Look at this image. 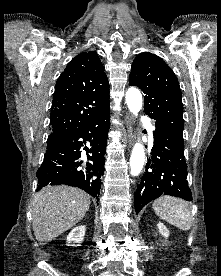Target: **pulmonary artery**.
I'll return each mask as SVG.
<instances>
[{"mask_svg":"<svg viewBox=\"0 0 221 276\" xmlns=\"http://www.w3.org/2000/svg\"><path fill=\"white\" fill-rule=\"evenodd\" d=\"M149 132H150V137H152V127L148 126Z\"/></svg>","mask_w":221,"mask_h":276,"instance_id":"obj_1","label":"pulmonary artery"}]
</instances>
